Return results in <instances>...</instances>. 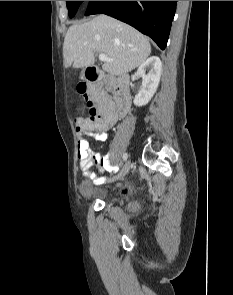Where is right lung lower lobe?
Returning a JSON list of instances; mask_svg holds the SVG:
<instances>
[{
	"label": "right lung lower lobe",
	"mask_w": 233,
	"mask_h": 295,
	"mask_svg": "<svg viewBox=\"0 0 233 295\" xmlns=\"http://www.w3.org/2000/svg\"><path fill=\"white\" fill-rule=\"evenodd\" d=\"M177 1H90L85 15L104 13L130 24L166 47Z\"/></svg>",
	"instance_id": "right-lung-lower-lobe-1"
}]
</instances>
